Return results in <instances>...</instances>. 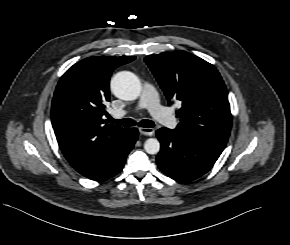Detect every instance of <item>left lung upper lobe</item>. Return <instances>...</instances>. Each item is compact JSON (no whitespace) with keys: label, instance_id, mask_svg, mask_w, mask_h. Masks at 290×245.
I'll return each mask as SVG.
<instances>
[{"label":"left lung upper lobe","instance_id":"left-lung-upper-lobe-1","mask_svg":"<svg viewBox=\"0 0 290 245\" xmlns=\"http://www.w3.org/2000/svg\"><path fill=\"white\" fill-rule=\"evenodd\" d=\"M180 123L175 131L187 138L223 150L231 130L228 92L218 70L200 57L185 51L145 57Z\"/></svg>","mask_w":290,"mask_h":245}]
</instances>
